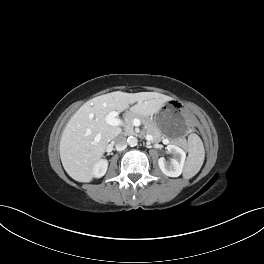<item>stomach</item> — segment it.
<instances>
[{
	"instance_id": "1",
	"label": "stomach",
	"mask_w": 264,
	"mask_h": 264,
	"mask_svg": "<svg viewBox=\"0 0 264 264\" xmlns=\"http://www.w3.org/2000/svg\"><path fill=\"white\" fill-rule=\"evenodd\" d=\"M182 104L178 100H171L163 106L161 112L154 117V124L162 134L176 138L187 129V120L181 115Z\"/></svg>"
}]
</instances>
